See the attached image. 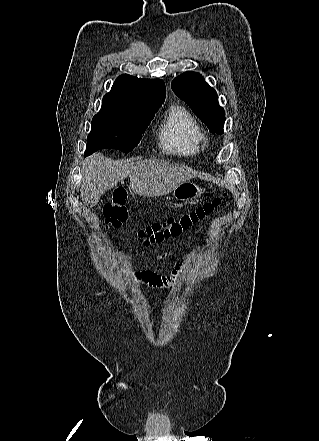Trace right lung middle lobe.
I'll return each mask as SVG.
<instances>
[{"mask_svg":"<svg viewBox=\"0 0 319 441\" xmlns=\"http://www.w3.org/2000/svg\"><path fill=\"white\" fill-rule=\"evenodd\" d=\"M159 107L101 109L92 119L84 156L103 148L132 151Z\"/></svg>","mask_w":319,"mask_h":441,"instance_id":"dd1d6c3e","label":"right lung middle lobe"}]
</instances>
